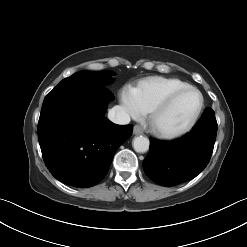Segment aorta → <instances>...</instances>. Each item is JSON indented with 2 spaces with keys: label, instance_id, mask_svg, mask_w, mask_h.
Instances as JSON below:
<instances>
[{
  "label": "aorta",
  "instance_id": "obj_1",
  "mask_svg": "<svg viewBox=\"0 0 247 247\" xmlns=\"http://www.w3.org/2000/svg\"><path fill=\"white\" fill-rule=\"evenodd\" d=\"M133 148L138 153H145L149 149V139L144 136H137L133 139Z\"/></svg>",
  "mask_w": 247,
  "mask_h": 247
}]
</instances>
